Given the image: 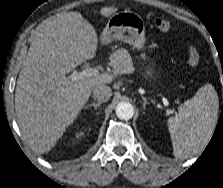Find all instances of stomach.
Here are the masks:
<instances>
[{"label": "stomach", "mask_w": 223, "mask_h": 188, "mask_svg": "<svg viewBox=\"0 0 223 188\" xmlns=\"http://www.w3.org/2000/svg\"><path fill=\"white\" fill-rule=\"evenodd\" d=\"M104 33L109 41L119 40L137 50L143 49L146 42L144 20L136 13L128 11L112 15ZM147 74L152 75L151 69L147 70Z\"/></svg>", "instance_id": "obj_1"}]
</instances>
